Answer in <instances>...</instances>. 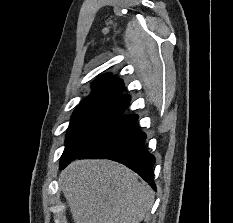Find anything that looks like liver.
Returning <instances> with one entry per match:
<instances>
[{"instance_id": "obj_1", "label": "liver", "mask_w": 233, "mask_h": 223, "mask_svg": "<svg viewBox=\"0 0 233 223\" xmlns=\"http://www.w3.org/2000/svg\"><path fill=\"white\" fill-rule=\"evenodd\" d=\"M58 183L75 223H140L154 201L137 173L111 159H75Z\"/></svg>"}]
</instances>
